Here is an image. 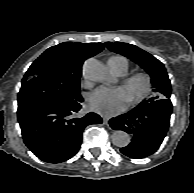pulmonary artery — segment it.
<instances>
[{"mask_svg": "<svg viewBox=\"0 0 194 193\" xmlns=\"http://www.w3.org/2000/svg\"><path fill=\"white\" fill-rule=\"evenodd\" d=\"M117 63H118V59L115 58V57H112V58H110V59L107 61V64H108V66H109L111 69H113V68L116 66Z\"/></svg>", "mask_w": 194, "mask_h": 193, "instance_id": "obj_1", "label": "pulmonary artery"}]
</instances>
